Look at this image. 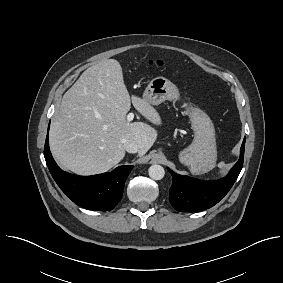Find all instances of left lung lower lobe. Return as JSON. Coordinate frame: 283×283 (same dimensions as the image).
I'll use <instances>...</instances> for the list:
<instances>
[{"mask_svg":"<svg viewBox=\"0 0 283 283\" xmlns=\"http://www.w3.org/2000/svg\"><path fill=\"white\" fill-rule=\"evenodd\" d=\"M245 139L241 146L240 158L229 174L216 181H201L178 175L168 168L173 178L169 200L180 212H195L208 209L217 204L236 181L244 160Z\"/></svg>","mask_w":283,"mask_h":283,"instance_id":"0a47b994","label":"left lung lower lobe"}]
</instances>
